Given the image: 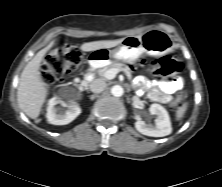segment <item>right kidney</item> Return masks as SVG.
<instances>
[{
  "label": "right kidney",
  "mask_w": 222,
  "mask_h": 187,
  "mask_svg": "<svg viewBox=\"0 0 222 187\" xmlns=\"http://www.w3.org/2000/svg\"><path fill=\"white\" fill-rule=\"evenodd\" d=\"M60 104L62 107H67L63 109L56 107ZM81 113V108L76 103H66L58 97H54L49 100L47 107V120L53 125H66L72 122Z\"/></svg>",
  "instance_id": "1"
}]
</instances>
